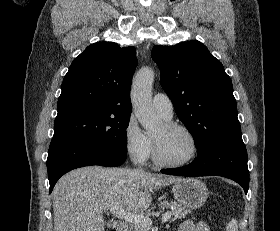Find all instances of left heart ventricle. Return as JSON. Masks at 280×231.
<instances>
[{"label": "left heart ventricle", "instance_id": "b2bd125f", "mask_svg": "<svg viewBox=\"0 0 280 231\" xmlns=\"http://www.w3.org/2000/svg\"><path fill=\"white\" fill-rule=\"evenodd\" d=\"M161 156L169 161H183L189 158L194 145L191 138L183 131L168 128L165 123L153 134Z\"/></svg>", "mask_w": 280, "mask_h": 231}]
</instances>
